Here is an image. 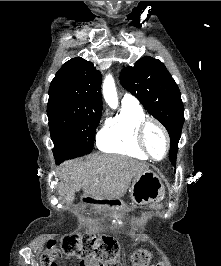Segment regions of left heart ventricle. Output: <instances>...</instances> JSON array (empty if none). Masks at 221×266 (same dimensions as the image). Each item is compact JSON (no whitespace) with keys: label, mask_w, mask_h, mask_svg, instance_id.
<instances>
[{"label":"left heart ventricle","mask_w":221,"mask_h":266,"mask_svg":"<svg viewBox=\"0 0 221 266\" xmlns=\"http://www.w3.org/2000/svg\"><path fill=\"white\" fill-rule=\"evenodd\" d=\"M145 138L151 154L156 158H161L165 151V140L159 129L150 125L146 130Z\"/></svg>","instance_id":"1"}]
</instances>
